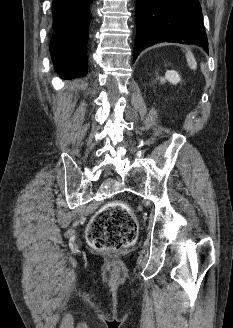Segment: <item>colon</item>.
I'll use <instances>...</instances> for the list:
<instances>
[{
	"mask_svg": "<svg viewBox=\"0 0 233 328\" xmlns=\"http://www.w3.org/2000/svg\"><path fill=\"white\" fill-rule=\"evenodd\" d=\"M138 225L130 208L121 202L104 205L91 220L86 237L89 245L98 251H116L132 245Z\"/></svg>",
	"mask_w": 233,
	"mask_h": 328,
	"instance_id": "colon-1",
	"label": "colon"
}]
</instances>
